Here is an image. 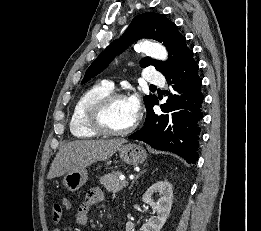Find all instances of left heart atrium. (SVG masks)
Wrapping results in <instances>:
<instances>
[{"mask_svg": "<svg viewBox=\"0 0 261 231\" xmlns=\"http://www.w3.org/2000/svg\"><path fill=\"white\" fill-rule=\"evenodd\" d=\"M127 99H128V102H129V105H130L132 111L134 112L135 115H137L140 110V101H139L138 96L132 95Z\"/></svg>", "mask_w": 261, "mask_h": 231, "instance_id": "1", "label": "left heart atrium"}]
</instances>
